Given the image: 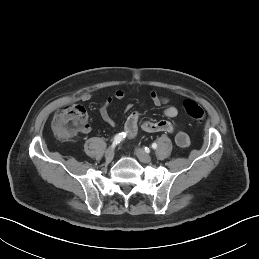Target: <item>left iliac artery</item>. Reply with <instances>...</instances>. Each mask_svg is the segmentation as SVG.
<instances>
[{
    "label": "left iliac artery",
    "mask_w": 259,
    "mask_h": 259,
    "mask_svg": "<svg viewBox=\"0 0 259 259\" xmlns=\"http://www.w3.org/2000/svg\"><path fill=\"white\" fill-rule=\"evenodd\" d=\"M152 148H153V149H156V148H157V144H156V143H153V144H152Z\"/></svg>",
    "instance_id": "1"
}]
</instances>
